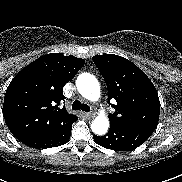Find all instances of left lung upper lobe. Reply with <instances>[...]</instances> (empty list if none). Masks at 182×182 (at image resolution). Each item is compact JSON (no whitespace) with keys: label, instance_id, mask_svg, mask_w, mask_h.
<instances>
[{"label":"left lung upper lobe","instance_id":"5c2ea615","mask_svg":"<svg viewBox=\"0 0 182 182\" xmlns=\"http://www.w3.org/2000/svg\"><path fill=\"white\" fill-rule=\"evenodd\" d=\"M103 76L115 112L109 115L110 124L126 125L154 131L160 115L156 88L147 75L134 63L114 54L92 57Z\"/></svg>","mask_w":182,"mask_h":182}]
</instances>
